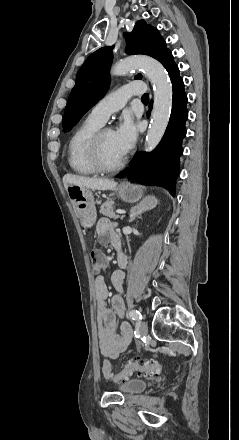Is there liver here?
I'll list each match as a JSON object with an SVG mask.
<instances>
[{
    "instance_id": "6515ba94",
    "label": "liver",
    "mask_w": 239,
    "mask_h": 440,
    "mask_svg": "<svg viewBox=\"0 0 239 440\" xmlns=\"http://www.w3.org/2000/svg\"><path fill=\"white\" fill-rule=\"evenodd\" d=\"M65 190L79 186V188H89V190H113L116 188L117 182L114 180H103V178H87V176H73L66 174L63 178Z\"/></svg>"
}]
</instances>
